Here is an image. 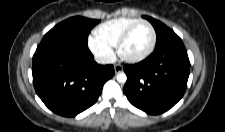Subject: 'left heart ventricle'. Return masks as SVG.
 Returning a JSON list of instances; mask_svg holds the SVG:
<instances>
[{"label": "left heart ventricle", "instance_id": "b2bd125f", "mask_svg": "<svg viewBox=\"0 0 225 132\" xmlns=\"http://www.w3.org/2000/svg\"><path fill=\"white\" fill-rule=\"evenodd\" d=\"M151 30L146 24L137 25L123 46L127 56H137L143 53L151 42Z\"/></svg>", "mask_w": 225, "mask_h": 132}]
</instances>
